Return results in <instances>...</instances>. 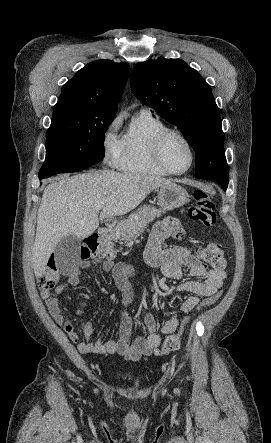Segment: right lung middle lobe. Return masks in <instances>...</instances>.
<instances>
[{
	"mask_svg": "<svg viewBox=\"0 0 271 443\" xmlns=\"http://www.w3.org/2000/svg\"><path fill=\"white\" fill-rule=\"evenodd\" d=\"M113 116L90 117L73 106H55L39 173L89 167L104 157V134Z\"/></svg>",
	"mask_w": 271,
	"mask_h": 443,
	"instance_id": "1",
	"label": "right lung middle lobe"
}]
</instances>
